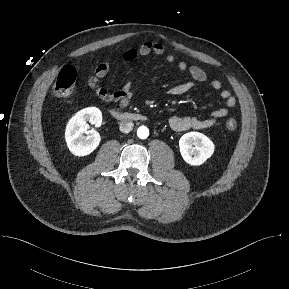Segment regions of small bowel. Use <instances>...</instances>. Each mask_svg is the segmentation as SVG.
<instances>
[{"mask_svg": "<svg viewBox=\"0 0 289 289\" xmlns=\"http://www.w3.org/2000/svg\"><path fill=\"white\" fill-rule=\"evenodd\" d=\"M165 55V48L159 42L145 41L138 48H128L123 51L121 57L126 62H131L139 56ZM165 60L168 63H173L175 57L172 54H166ZM113 60H108L96 66L93 75L88 79L89 88L102 100L115 103L116 109L125 107L132 96L129 85H125L121 90L110 92L105 87L99 84V81L104 78L110 71ZM177 67L180 72L187 73L190 80L174 85L167 90L170 96H181L190 92L197 84L207 82L208 77L206 72L197 65H188L185 62H179ZM210 86L219 92L220 97L224 100L225 107L213 111L206 118H197L188 115L173 116L169 120V125L173 130L184 131L189 129H206L214 126L216 122L228 115V109L236 105L235 97L226 89L222 88V83L219 80H212Z\"/></svg>", "mask_w": 289, "mask_h": 289, "instance_id": "small-bowel-1", "label": "small bowel"}]
</instances>
